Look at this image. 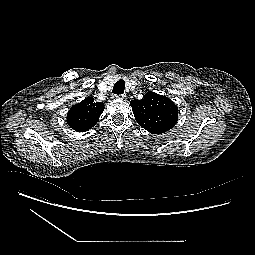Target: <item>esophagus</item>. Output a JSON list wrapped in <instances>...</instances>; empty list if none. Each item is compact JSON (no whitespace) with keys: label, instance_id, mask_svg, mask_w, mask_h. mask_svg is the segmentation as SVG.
Wrapping results in <instances>:
<instances>
[{"label":"esophagus","instance_id":"1","mask_svg":"<svg viewBox=\"0 0 255 255\" xmlns=\"http://www.w3.org/2000/svg\"><path fill=\"white\" fill-rule=\"evenodd\" d=\"M116 98H118L120 100H124L125 99V95L124 94L116 95Z\"/></svg>","mask_w":255,"mask_h":255}]
</instances>
